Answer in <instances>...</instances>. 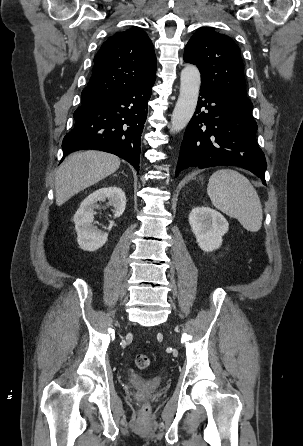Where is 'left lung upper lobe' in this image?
<instances>
[{
  "label": "left lung upper lobe",
  "instance_id": "5c2ea615",
  "mask_svg": "<svg viewBox=\"0 0 303 446\" xmlns=\"http://www.w3.org/2000/svg\"><path fill=\"white\" fill-rule=\"evenodd\" d=\"M184 61L198 66L202 84H209L236 97L249 108L244 64L234 41L209 27L197 29L185 47Z\"/></svg>",
  "mask_w": 303,
  "mask_h": 446
}]
</instances>
